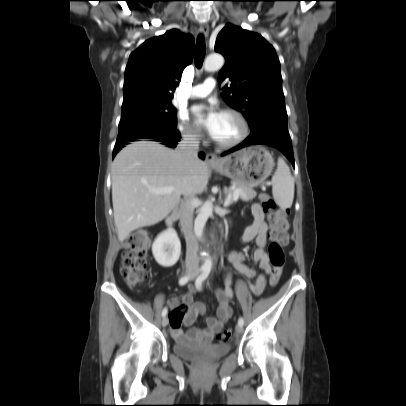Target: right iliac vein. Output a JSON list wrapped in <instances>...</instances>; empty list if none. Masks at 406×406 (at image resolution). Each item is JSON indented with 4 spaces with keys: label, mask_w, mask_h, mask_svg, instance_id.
<instances>
[{
    "label": "right iliac vein",
    "mask_w": 406,
    "mask_h": 406,
    "mask_svg": "<svg viewBox=\"0 0 406 406\" xmlns=\"http://www.w3.org/2000/svg\"><path fill=\"white\" fill-rule=\"evenodd\" d=\"M191 272H192L191 269H189V270L187 271L188 274H190ZM167 324H168V318H167V317H164L163 320H162V326H163V327H166Z\"/></svg>",
    "instance_id": "1"
}]
</instances>
